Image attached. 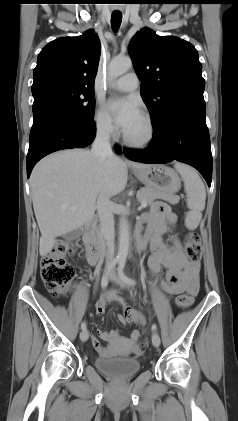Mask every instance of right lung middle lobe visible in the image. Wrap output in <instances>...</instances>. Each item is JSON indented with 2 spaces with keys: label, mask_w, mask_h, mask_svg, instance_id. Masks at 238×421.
I'll use <instances>...</instances> for the list:
<instances>
[{
  "label": "right lung middle lobe",
  "mask_w": 238,
  "mask_h": 421,
  "mask_svg": "<svg viewBox=\"0 0 238 421\" xmlns=\"http://www.w3.org/2000/svg\"><path fill=\"white\" fill-rule=\"evenodd\" d=\"M33 105L50 101L61 105L77 117L93 121L95 99L92 89L59 82H45L32 86Z\"/></svg>",
  "instance_id": "dd1d6c3e"
}]
</instances>
